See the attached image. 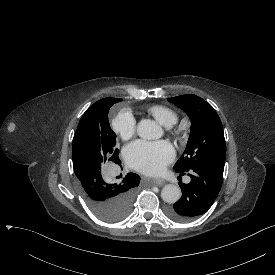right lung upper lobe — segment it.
I'll return each mask as SVG.
<instances>
[{
    "label": "right lung upper lobe",
    "instance_id": "1",
    "mask_svg": "<svg viewBox=\"0 0 275 275\" xmlns=\"http://www.w3.org/2000/svg\"><path fill=\"white\" fill-rule=\"evenodd\" d=\"M115 99H117V98H104V99H101V100L97 101L96 103H94L93 106H96L97 104L104 102V101L115 100Z\"/></svg>",
    "mask_w": 275,
    "mask_h": 275
}]
</instances>
